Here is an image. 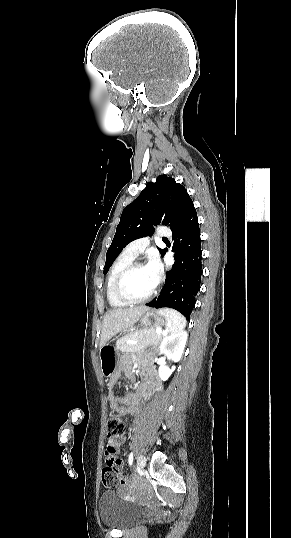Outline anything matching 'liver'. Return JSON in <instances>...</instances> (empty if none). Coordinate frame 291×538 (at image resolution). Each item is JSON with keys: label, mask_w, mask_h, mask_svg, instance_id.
Instances as JSON below:
<instances>
[{"label": "liver", "mask_w": 291, "mask_h": 538, "mask_svg": "<svg viewBox=\"0 0 291 538\" xmlns=\"http://www.w3.org/2000/svg\"><path fill=\"white\" fill-rule=\"evenodd\" d=\"M148 310L146 306H138L115 308L106 312L101 329L100 347L106 345L119 332L132 328Z\"/></svg>", "instance_id": "liver-1"}]
</instances>
